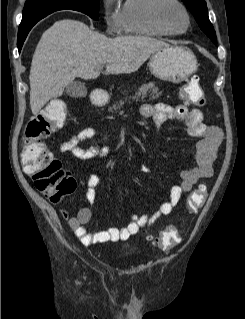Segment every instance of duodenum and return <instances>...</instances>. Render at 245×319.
Wrapping results in <instances>:
<instances>
[{"label": "duodenum", "mask_w": 245, "mask_h": 319, "mask_svg": "<svg viewBox=\"0 0 245 319\" xmlns=\"http://www.w3.org/2000/svg\"><path fill=\"white\" fill-rule=\"evenodd\" d=\"M91 102L95 106H101L104 103V96L100 91H93L91 94Z\"/></svg>", "instance_id": "410a0bca"}]
</instances>
